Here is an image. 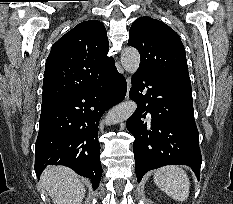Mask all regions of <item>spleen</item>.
I'll list each match as a JSON object with an SVG mask.
<instances>
[{"instance_id":"1","label":"spleen","mask_w":233,"mask_h":204,"mask_svg":"<svg viewBox=\"0 0 233 204\" xmlns=\"http://www.w3.org/2000/svg\"><path fill=\"white\" fill-rule=\"evenodd\" d=\"M154 182L160 190L175 201L183 202L189 196L190 181L188 175L176 165H169L156 170Z\"/></svg>"}]
</instances>
